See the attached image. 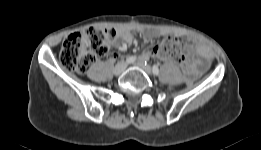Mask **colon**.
Returning <instances> with one entry per match:
<instances>
[{
  "instance_id": "colon-1",
  "label": "colon",
  "mask_w": 261,
  "mask_h": 150,
  "mask_svg": "<svg viewBox=\"0 0 261 150\" xmlns=\"http://www.w3.org/2000/svg\"><path fill=\"white\" fill-rule=\"evenodd\" d=\"M115 37L116 31L111 28L89 27L72 33L63 41L60 62L67 70L85 73L97 58L107 55L109 45ZM152 54L159 59L178 63L183 70L187 68L182 46L175 38L169 37L162 40L152 49Z\"/></svg>"
}]
</instances>
